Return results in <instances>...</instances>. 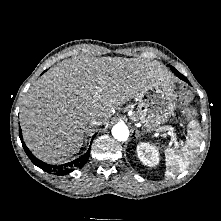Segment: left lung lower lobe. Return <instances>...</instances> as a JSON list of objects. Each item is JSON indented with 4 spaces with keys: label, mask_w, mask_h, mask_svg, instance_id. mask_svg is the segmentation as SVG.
Instances as JSON below:
<instances>
[{
    "label": "left lung lower lobe",
    "mask_w": 221,
    "mask_h": 221,
    "mask_svg": "<svg viewBox=\"0 0 221 221\" xmlns=\"http://www.w3.org/2000/svg\"><path fill=\"white\" fill-rule=\"evenodd\" d=\"M176 74V76H178L180 79L186 81L189 83V81L186 79V77H184L181 73H179L178 71L174 72ZM190 84V83H189Z\"/></svg>",
    "instance_id": "1"
}]
</instances>
